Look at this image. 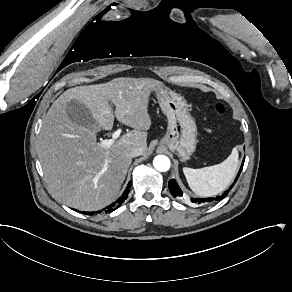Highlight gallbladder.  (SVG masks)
<instances>
[{"label": "gallbladder", "instance_id": "gallbladder-1", "mask_svg": "<svg viewBox=\"0 0 292 292\" xmlns=\"http://www.w3.org/2000/svg\"><path fill=\"white\" fill-rule=\"evenodd\" d=\"M65 112L72 123L86 126L94 121L90 110L80 101L71 99L66 103Z\"/></svg>", "mask_w": 292, "mask_h": 292}]
</instances>
